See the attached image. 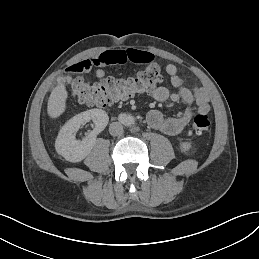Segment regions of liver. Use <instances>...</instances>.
Returning <instances> with one entry per match:
<instances>
[{
    "mask_svg": "<svg viewBox=\"0 0 259 259\" xmlns=\"http://www.w3.org/2000/svg\"><path fill=\"white\" fill-rule=\"evenodd\" d=\"M70 81V78H67ZM67 91L63 84L56 86L49 97L47 112L51 118L59 117L65 111Z\"/></svg>",
    "mask_w": 259,
    "mask_h": 259,
    "instance_id": "liver-1",
    "label": "liver"
}]
</instances>
